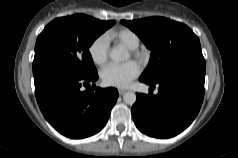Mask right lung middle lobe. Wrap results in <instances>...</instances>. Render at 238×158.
<instances>
[{
  "label": "right lung middle lobe",
  "mask_w": 238,
  "mask_h": 158,
  "mask_svg": "<svg viewBox=\"0 0 238 158\" xmlns=\"http://www.w3.org/2000/svg\"><path fill=\"white\" fill-rule=\"evenodd\" d=\"M115 23L84 14L57 18L37 38L33 63L45 60L60 63L86 77L97 74L89 47Z\"/></svg>",
  "instance_id": "dd1d6c3e"
}]
</instances>
